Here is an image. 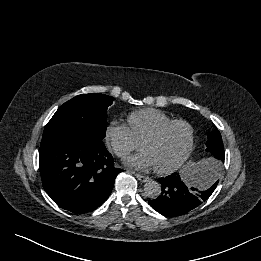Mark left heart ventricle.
Returning a JSON list of instances; mask_svg holds the SVG:
<instances>
[{
	"label": "left heart ventricle",
	"mask_w": 261,
	"mask_h": 261,
	"mask_svg": "<svg viewBox=\"0 0 261 261\" xmlns=\"http://www.w3.org/2000/svg\"><path fill=\"white\" fill-rule=\"evenodd\" d=\"M189 141L186 126L173 125L155 141L146 142L142 149L152 158L154 167L164 168L175 163L185 152Z\"/></svg>",
	"instance_id": "b2bd125f"
}]
</instances>
